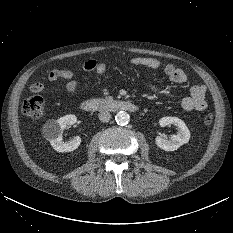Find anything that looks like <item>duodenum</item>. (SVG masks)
I'll use <instances>...</instances> for the list:
<instances>
[{
	"label": "duodenum",
	"mask_w": 233,
	"mask_h": 233,
	"mask_svg": "<svg viewBox=\"0 0 233 233\" xmlns=\"http://www.w3.org/2000/svg\"><path fill=\"white\" fill-rule=\"evenodd\" d=\"M81 109L84 111H128L136 112L139 107L129 101L120 99H88L81 103Z\"/></svg>",
	"instance_id": "duodenum-1"
}]
</instances>
